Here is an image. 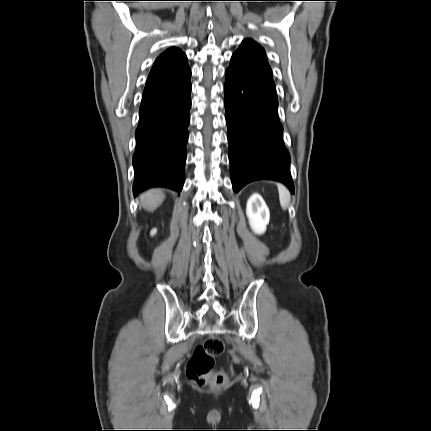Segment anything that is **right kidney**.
I'll list each match as a JSON object with an SVG mask.
<instances>
[{
	"instance_id": "obj_1",
	"label": "right kidney",
	"mask_w": 431,
	"mask_h": 431,
	"mask_svg": "<svg viewBox=\"0 0 431 431\" xmlns=\"http://www.w3.org/2000/svg\"><path fill=\"white\" fill-rule=\"evenodd\" d=\"M156 233V230L154 229L152 232H151V234L152 235H154Z\"/></svg>"
}]
</instances>
